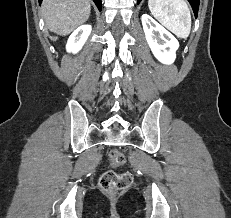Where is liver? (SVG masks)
Masks as SVG:
<instances>
[{"label": "liver", "mask_w": 231, "mask_h": 218, "mask_svg": "<svg viewBox=\"0 0 231 218\" xmlns=\"http://www.w3.org/2000/svg\"><path fill=\"white\" fill-rule=\"evenodd\" d=\"M42 13L51 32L66 36L90 16V0H44Z\"/></svg>", "instance_id": "liver-1"}]
</instances>
